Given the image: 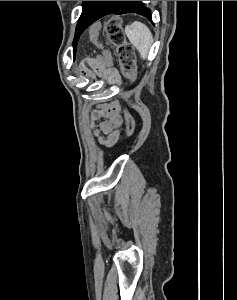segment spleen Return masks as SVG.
Masks as SVG:
<instances>
[{"mask_svg": "<svg viewBox=\"0 0 237 300\" xmlns=\"http://www.w3.org/2000/svg\"><path fill=\"white\" fill-rule=\"evenodd\" d=\"M125 35L133 47L139 51L142 59H147L148 51L153 43V35L148 27L135 21L132 25H126Z\"/></svg>", "mask_w": 237, "mask_h": 300, "instance_id": "3e777b00", "label": "spleen"}]
</instances>
